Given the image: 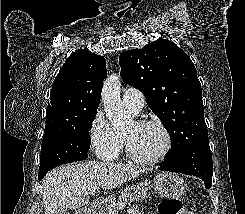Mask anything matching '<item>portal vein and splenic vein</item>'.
<instances>
[{
    "label": "portal vein and splenic vein",
    "instance_id": "obj_1",
    "mask_svg": "<svg viewBox=\"0 0 245 214\" xmlns=\"http://www.w3.org/2000/svg\"><path fill=\"white\" fill-rule=\"evenodd\" d=\"M90 193L95 194L96 193V187H91L90 188Z\"/></svg>",
    "mask_w": 245,
    "mask_h": 214
}]
</instances>
